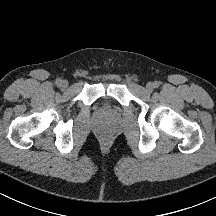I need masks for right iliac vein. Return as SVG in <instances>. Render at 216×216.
I'll return each instance as SVG.
<instances>
[{"instance_id":"obj_1","label":"right iliac vein","mask_w":216,"mask_h":216,"mask_svg":"<svg viewBox=\"0 0 216 216\" xmlns=\"http://www.w3.org/2000/svg\"><path fill=\"white\" fill-rule=\"evenodd\" d=\"M68 85H69V83L67 80H62L59 86L61 89H66L68 87Z\"/></svg>"}]
</instances>
